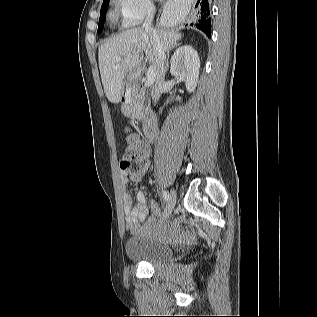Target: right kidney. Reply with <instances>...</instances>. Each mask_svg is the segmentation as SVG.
<instances>
[{
  "label": "right kidney",
  "instance_id": "ca27d5eb",
  "mask_svg": "<svg viewBox=\"0 0 317 317\" xmlns=\"http://www.w3.org/2000/svg\"><path fill=\"white\" fill-rule=\"evenodd\" d=\"M200 60L197 51L190 45L178 48L171 59L170 72L173 76L182 77L188 92H193L199 78ZM180 100L178 96L176 98Z\"/></svg>",
  "mask_w": 317,
  "mask_h": 317
}]
</instances>
